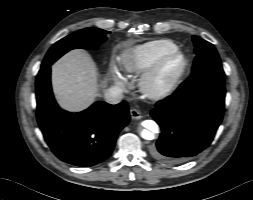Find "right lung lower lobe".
Masks as SVG:
<instances>
[{
    "label": "right lung lower lobe",
    "instance_id": "1",
    "mask_svg": "<svg viewBox=\"0 0 253 200\" xmlns=\"http://www.w3.org/2000/svg\"><path fill=\"white\" fill-rule=\"evenodd\" d=\"M51 65L41 66L36 78L37 121L45 141L66 163L90 167L103 162L130 121L127 103L98 101L80 113L64 111L52 93Z\"/></svg>",
    "mask_w": 253,
    "mask_h": 200
}]
</instances>
